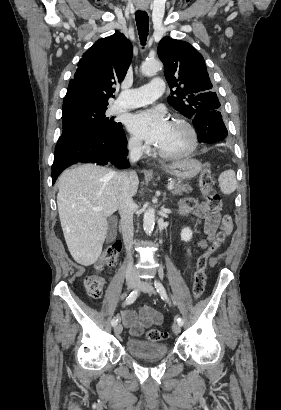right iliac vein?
Here are the masks:
<instances>
[{
    "instance_id": "obj_1",
    "label": "right iliac vein",
    "mask_w": 281,
    "mask_h": 410,
    "mask_svg": "<svg viewBox=\"0 0 281 410\" xmlns=\"http://www.w3.org/2000/svg\"><path fill=\"white\" fill-rule=\"evenodd\" d=\"M126 284H127V288L129 290L134 289V288L137 287V282H134V281H128ZM122 330H123V328H122L121 324H117L114 327V332H115L116 335H120L122 333Z\"/></svg>"
}]
</instances>
